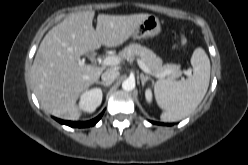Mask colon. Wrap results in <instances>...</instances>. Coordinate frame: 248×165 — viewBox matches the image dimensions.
<instances>
[{
    "label": "colon",
    "instance_id": "1",
    "mask_svg": "<svg viewBox=\"0 0 248 165\" xmlns=\"http://www.w3.org/2000/svg\"><path fill=\"white\" fill-rule=\"evenodd\" d=\"M182 41L185 42V38H182Z\"/></svg>",
    "mask_w": 248,
    "mask_h": 165
}]
</instances>
